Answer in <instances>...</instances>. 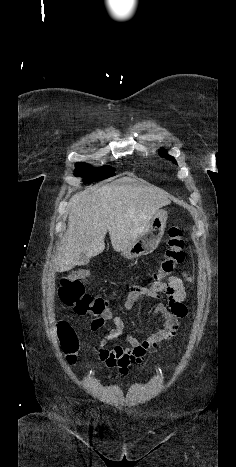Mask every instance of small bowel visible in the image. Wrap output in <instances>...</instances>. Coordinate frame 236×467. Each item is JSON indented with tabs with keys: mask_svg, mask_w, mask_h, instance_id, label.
<instances>
[{
	"mask_svg": "<svg viewBox=\"0 0 236 467\" xmlns=\"http://www.w3.org/2000/svg\"><path fill=\"white\" fill-rule=\"evenodd\" d=\"M186 283H192V277L182 272L180 276H170L165 283L155 282L150 288L132 286L126 293L123 303L125 311H131L142 298H160L162 294L167 297L166 304L159 303L154 308V314L160 315L163 319L162 325L143 339L126 333L124 321L114 315L110 308L99 316H89L92 319L90 328L94 332L100 330L106 321H111L114 326L95 348L96 355L107 368L117 367L119 374L125 376L133 367L142 364L149 350L177 334L182 326V320L188 314L187 307L183 303L186 299ZM117 294L118 291H114L110 297L113 298ZM115 339L123 340L128 347L118 345L109 349L108 342Z\"/></svg>",
	"mask_w": 236,
	"mask_h": 467,
	"instance_id": "1",
	"label": "small bowel"
}]
</instances>
